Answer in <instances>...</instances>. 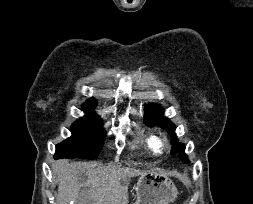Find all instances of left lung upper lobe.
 I'll return each mask as SVG.
<instances>
[{
  "instance_id": "obj_1",
  "label": "left lung upper lobe",
  "mask_w": 253,
  "mask_h": 204,
  "mask_svg": "<svg viewBox=\"0 0 253 204\" xmlns=\"http://www.w3.org/2000/svg\"><path fill=\"white\" fill-rule=\"evenodd\" d=\"M164 110L159 105L149 104L146 108V115L144 121L148 125L159 126L165 129L172 136L173 147L171 154L179 153L180 158L183 161H187V155H185V147L182 143H178V140L175 138V125L171 123L163 114Z\"/></svg>"
}]
</instances>
